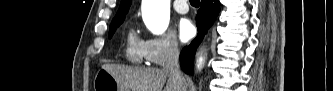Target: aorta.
Wrapping results in <instances>:
<instances>
[{"label":"aorta","instance_id":"762f6f07","mask_svg":"<svg viewBox=\"0 0 333 91\" xmlns=\"http://www.w3.org/2000/svg\"><path fill=\"white\" fill-rule=\"evenodd\" d=\"M142 15L146 27L155 35L163 34L170 20V0H143ZM204 59L198 60V68Z\"/></svg>","mask_w":333,"mask_h":91}]
</instances>
